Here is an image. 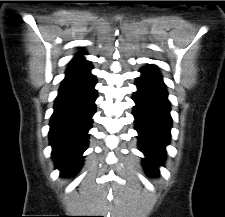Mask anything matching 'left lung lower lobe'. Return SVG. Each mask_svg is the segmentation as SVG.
I'll list each match as a JSON object with an SVG mask.
<instances>
[{
	"label": "left lung lower lobe",
	"instance_id": "1",
	"mask_svg": "<svg viewBox=\"0 0 225 217\" xmlns=\"http://www.w3.org/2000/svg\"><path fill=\"white\" fill-rule=\"evenodd\" d=\"M141 73L136 81L138 90L133 95L136 103L133 110L135 129L139 133L140 151L146 156L144 167L149 175L156 176L170 139V103L156 66L148 65Z\"/></svg>",
	"mask_w": 225,
	"mask_h": 217
}]
</instances>
